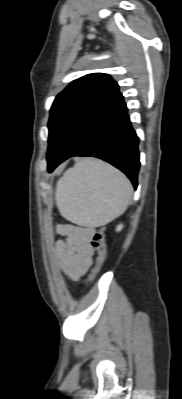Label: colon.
<instances>
[{
  "mask_svg": "<svg viewBox=\"0 0 182 399\" xmlns=\"http://www.w3.org/2000/svg\"><path fill=\"white\" fill-rule=\"evenodd\" d=\"M92 244L93 247L97 251V258H96V263L95 266L89 275V278L87 280V283H90L93 281V279L97 276L99 273L102 265L104 264L107 256V246H106V240H105V228L100 227L97 230H95L93 238H92Z\"/></svg>",
  "mask_w": 182,
  "mask_h": 399,
  "instance_id": "1",
  "label": "colon"
}]
</instances>
